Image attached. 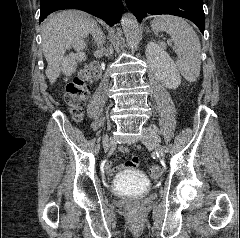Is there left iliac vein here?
I'll list each match as a JSON object with an SVG mask.
<instances>
[{
	"instance_id": "4c4485c4",
	"label": "left iliac vein",
	"mask_w": 240,
	"mask_h": 238,
	"mask_svg": "<svg viewBox=\"0 0 240 238\" xmlns=\"http://www.w3.org/2000/svg\"><path fill=\"white\" fill-rule=\"evenodd\" d=\"M141 140L146 146H148L152 149H155L161 157L165 156L168 148L166 147L165 150L161 149V147L158 144L159 142L156 139L155 132L152 128L143 127Z\"/></svg>"
}]
</instances>
